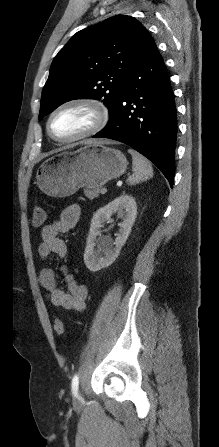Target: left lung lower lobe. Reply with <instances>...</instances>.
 <instances>
[{
  "instance_id": "0a47b994",
  "label": "left lung lower lobe",
  "mask_w": 219,
  "mask_h": 447,
  "mask_svg": "<svg viewBox=\"0 0 219 447\" xmlns=\"http://www.w3.org/2000/svg\"><path fill=\"white\" fill-rule=\"evenodd\" d=\"M93 137L131 146L173 186L177 114L169 75L153 38L130 70L108 125Z\"/></svg>"
}]
</instances>
